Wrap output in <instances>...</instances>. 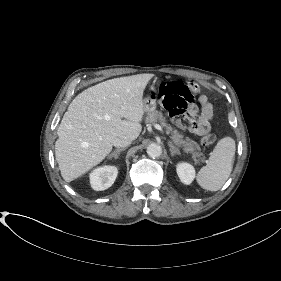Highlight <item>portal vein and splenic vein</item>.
Returning a JSON list of instances; mask_svg holds the SVG:
<instances>
[{"label": "portal vein and splenic vein", "instance_id": "obj_1", "mask_svg": "<svg viewBox=\"0 0 281 281\" xmlns=\"http://www.w3.org/2000/svg\"><path fill=\"white\" fill-rule=\"evenodd\" d=\"M154 127L157 129V130H159L160 132H162V133H164V130H163V128H162V126L161 125H159V124H154Z\"/></svg>", "mask_w": 281, "mask_h": 281}]
</instances>
